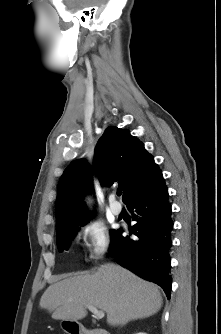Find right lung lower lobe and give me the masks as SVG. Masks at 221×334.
Here are the masks:
<instances>
[{"label": "right lung lower lobe", "mask_w": 221, "mask_h": 334, "mask_svg": "<svg viewBox=\"0 0 221 334\" xmlns=\"http://www.w3.org/2000/svg\"><path fill=\"white\" fill-rule=\"evenodd\" d=\"M126 205L129 211L136 212L133 220L137 223L129 231L138 238L123 237L122 231H117L109 253L121 266L161 286L170 299L172 278L169 251L173 221L162 173Z\"/></svg>", "instance_id": "98d812e1"}]
</instances>
